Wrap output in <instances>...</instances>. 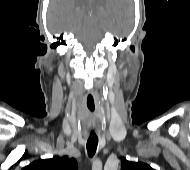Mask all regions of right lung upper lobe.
Segmentation results:
<instances>
[{"label": "right lung upper lobe", "mask_w": 190, "mask_h": 170, "mask_svg": "<svg viewBox=\"0 0 190 170\" xmlns=\"http://www.w3.org/2000/svg\"><path fill=\"white\" fill-rule=\"evenodd\" d=\"M22 170H77V161L68 156H54L51 159L34 161Z\"/></svg>", "instance_id": "right-lung-upper-lobe-1"}]
</instances>
